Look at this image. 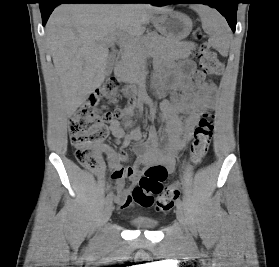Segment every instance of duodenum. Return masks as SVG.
Instances as JSON below:
<instances>
[{
    "label": "duodenum",
    "mask_w": 279,
    "mask_h": 267,
    "mask_svg": "<svg viewBox=\"0 0 279 267\" xmlns=\"http://www.w3.org/2000/svg\"><path fill=\"white\" fill-rule=\"evenodd\" d=\"M124 73V66L121 61L117 62L114 67V74L116 78L121 79L123 77ZM125 96H131L133 94L132 89H127L124 91Z\"/></svg>",
    "instance_id": "obj_1"
}]
</instances>
